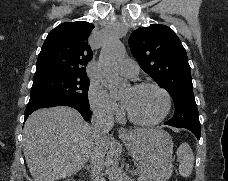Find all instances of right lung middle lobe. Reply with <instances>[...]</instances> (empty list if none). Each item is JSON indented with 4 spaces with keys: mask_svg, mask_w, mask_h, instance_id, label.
<instances>
[{
    "mask_svg": "<svg viewBox=\"0 0 228 181\" xmlns=\"http://www.w3.org/2000/svg\"><path fill=\"white\" fill-rule=\"evenodd\" d=\"M89 80L86 76L52 74L33 80L29 104L63 101L89 109Z\"/></svg>",
    "mask_w": 228,
    "mask_h": 181,
    "instance_id": "right-lung-middle-lobe-1",
    "label": "right lung middle lobe"
}]
</instances>
